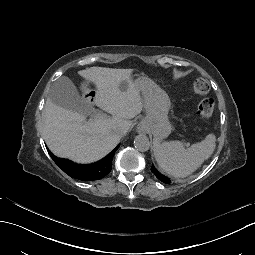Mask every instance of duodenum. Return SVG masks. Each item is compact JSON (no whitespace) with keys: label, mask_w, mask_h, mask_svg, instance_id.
Returning <instances> with one entry per match:
<instances>
[{"label":"duodenum","mask_w":255,"mask_h":255,"mask_svg":"<svg viewBox=\"0 0 255 255\" xmlns=\"http://www.w3.org/2000/svg\"><path fill=\"white\" fill-rule=\"evenodd\" d=\"M84 98L88 103H93L96 99V93L92 89H84Z\"/></svg>","instance_id":"410a0bca"}]
</instances>
